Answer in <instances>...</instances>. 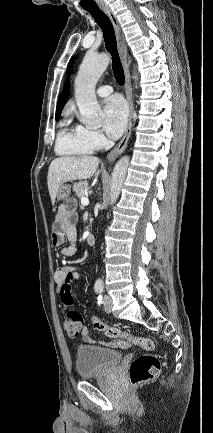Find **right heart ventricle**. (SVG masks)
Instances as JSON below:
<instances>
[{
    "mask_svg": "<svg viewBox=\"0 0 213 433\" xmlns=\"http://www.w3.org/2000/svg\"><path fill=\"white\" fill-rule=\"evenodd\" d=\"M56 152L60 155H88L93 153L95 146L87 135L86 128L80 125H71L65 120L57 135Z\"/></svg>",
    "mask_w": 213,
    "mask_h": 433,
    "instance_id": "right-heart-ventricle-1",
    "label": "right heart ventricle"
}]
</instances>
